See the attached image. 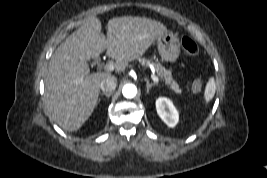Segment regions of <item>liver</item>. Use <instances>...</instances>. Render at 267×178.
I'll return each instance as SVG.
<instances>
[{
	"label": "liver",
	"instance_id": "6515ba94",
	"mask_svg": "<svg viewBox=\"0 0 267 178\" xmlns=\"http://www.w3.org/2000/svg\"><path fill=\"white\" fill-rule=\"evenodd\" d=\"M167 31L160 22L141 17L112 18L107 38L101 21L89 17L53 53L45 75V105L51 119L66 131H77L93 112L100 82L110 74L92 73L87 63L106 55L116 60V72L141 57Z\"/></svg>",
	"mask_w": 267,
	"mask_h": 178
}]
</instances>
